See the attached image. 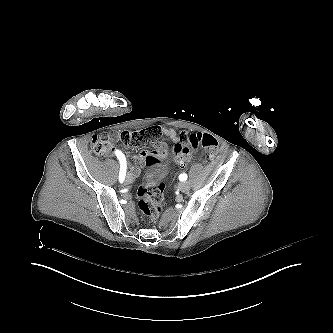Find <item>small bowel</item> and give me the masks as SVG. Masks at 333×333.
I'll list each match as a JSON object with an SVG mask.
<instances>
[{
    "mask_svg": "<svg viewBox=\"0 0 333 333\" xmlns=\"http://www.w3.org/2000/svg\"><path fill=\"white\" fill-rule=\"evenodd\" d=\"M154 128H157L159 129V131L161 132V135L168 138L170 141H172L173 143L177 144L179 143V141L182 139V138H185L186 134L184 132H177L175 131L174 129L170 128V127H167L165 125H157V126H154ZM109 155L111 157H114L116 155V152L114 150H111L109 152ZM145 154L144 153H141L140 155L138 156H135V159L137 161H140L141 158L144 156ZM191 156V155H190ZM174 157V156H173ZM175 161L180 164V165H183L186 161H188L190 159V157H187V158H183L181 156H178V157H174ZM140 171L137 167H134V166H131L129 168V171H128V174H127V177H126V180L128 183H131L134 181V179L139 175Z\"/></svg>",
    "mask_w": 333,
    "mask_h": 333,
    "instance_id": "1",
    "label": "small bowel"
}]
</instances>
